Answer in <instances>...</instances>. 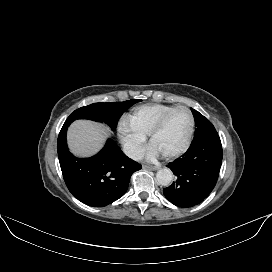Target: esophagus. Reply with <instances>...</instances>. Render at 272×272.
<instances>
[{
    "instance_id": "esophagus-1",
    "label": "esophagus",
    "mask_w": 272,
    "mask_h": 272,
    "mask_svg": "<svg viewBox=\"0 0 272 272\" xmlns=\"http://www.w3.org/2000/svg\"><path fill=\"white\" fill-rule=\"evenodd\" d=\"M143 169L155 171V170H158L159 167H157V166H150V165H143Z\"/></svg>"
}]
</instances>
